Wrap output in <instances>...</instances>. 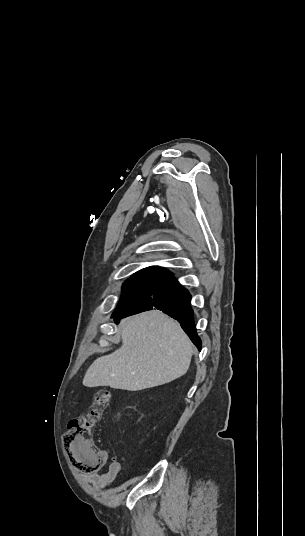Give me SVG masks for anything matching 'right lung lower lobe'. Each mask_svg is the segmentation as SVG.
Returning a JSON list of instances; mask_svg holds the SVG:
<instances>
[{"label": "right lung lower lobe", "instance_id": "1", "mask_svg": "<svg viewBox=\"0 0 305 536\" xmlns=\"http://www.w3.org/2000/svg\"><path fill=\"white\" fill-rule=\"evenodd\" d=\"M191 295L173 277L164 279L150 292L139 298L128 308L119 313H113L115 322L133 314L152 310H162L164 313L175 318L192 342L201 349V340L196 333L193 310L190 306Z\"/></svg>", "mask_w": 305, "mask_h": 536}]
</instances>
